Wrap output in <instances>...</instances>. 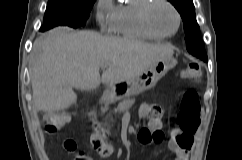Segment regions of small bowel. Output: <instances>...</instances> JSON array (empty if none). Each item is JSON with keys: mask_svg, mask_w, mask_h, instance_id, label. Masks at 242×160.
<instances>
[{"mask_svg": "<svg viewBox=\"0 0 242 160\" xmlns=\"http://www.w3.org/2000/svg\"><path fill=\"white\" fill-rule=\"evenodd\" d=\"M142 114L145 115L146 114V109H142ZM160 125L159 120H154L152 123V126L154 128H158ZM143 131V130H142ZM176 132H180L179 130H176L173 135L171 136V138L168 141V148L171 152H173L175 154V159L174 160H189V153L193 147L194 144V137L193 134H189V135H184L185 138L187 139V144L183 145L181 142H179L175 136ZM99 141H102V138L100 137H93V145L96 147L97 143ZM139 142L144 144L142 142V139L139 136ZM108 148L110 149V151L112 152V146L108 143L107 144ZM66 148L68 150H73L74 149V145L72 142L67 141L66 142Z\"/></svg>", "mask_w": 242, "mask_h": 160, "instance_id": "obj_1", "label": "small bowel"}]
</instances>
